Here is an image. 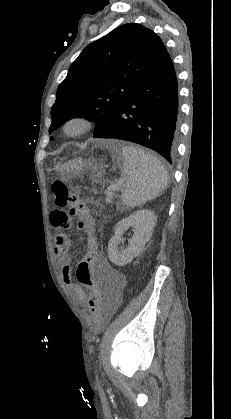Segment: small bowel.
<instances>
[{
    "label": "small bowel",
    "instance_id": "1",
    "mask_svg": "<svg viewBox=\"0 0 231 419\" xmlns=\"http://www.w3.org/2000/svg\"><path fill=\"white\" fill-rule=\"evenodd\" d=\"M51 223L56 227L57 232H69L70 230V215L61 210H55L50 215ZM71 246V240L65 233H59L55 236L54 240V254L57 258L58 265L61 269V276L64 284L74 292L76 298L82 304L85 302L87 293L84 289L77 284H73V270L71 266L72 257L69 253ZM93 265V270L96 271L98 276L103 280L104 283V295L106 305V316L109 317L117 310L121 302L120 290L121 281L114 275H110L106 278L104 271H108L110 268L107 265L106 257L100 253L97 260ZM92 270V271H93Z\"/></svg>",
    "mask_w": 231,
    "mask_h": 419
}]
</instances>
